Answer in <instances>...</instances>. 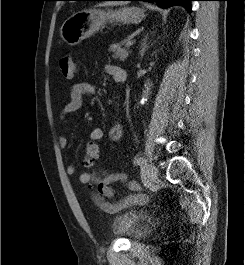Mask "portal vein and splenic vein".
Wrapping results in <instances>:
<instances>
[{
	"mask_svg": "<svg viewBox=\"0 0 245 265\" xmlns=\"http://www.w3.org/2000/svg\"><path fill=\"white\" fill-rule=\"evenodd\" d=\"M133 44H134L133 41H129V42L126 43V47L129 48V47H131Z\"/></svg>",
	"mask_w": 245,
	"mask_h": 265,
	"instance_id": "18ae733b",
	"label": "portal vein and splenic vein"
}]
</instances>
